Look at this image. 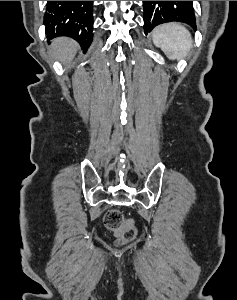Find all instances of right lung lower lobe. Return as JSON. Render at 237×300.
Returning <instances> with one entry per match:
<instances>
[{
    "label": "right lung lower lobe",
    "mask_w": 237,
    "mask_h": 300,
    "mask_svg": "<svg viewBox=\"0 0 237 300\" xmlns=\"http://www.w3.org/2000/svg\"><path fill=\"white\" fill-rule=\"evenodd\" d=\"M44 23L48 40L68 36L86 50L92 42L93 1H48Z\"/></svg>",
    "instance_id": "1"
}]
</instances>
